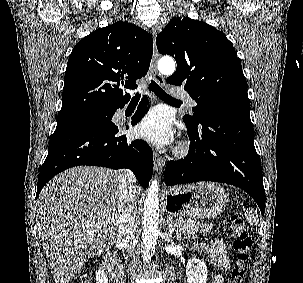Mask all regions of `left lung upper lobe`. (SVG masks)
<instances>
[{
  "label": "left lung upper lobe",
  "mask_w": 303,
  "mask_h": 283,
  "mask_svg": "<svg viewBox=\"0 0 303 283\" xmlns=\"http://www.w3.org/2000/svg\"><path fill=\"white\" fill-rule=\"evenodd\" d=\"M156 44L159 53L177 62L167 82L183 85L197 103L193 116L185 115L184 121L199 125L208 110L250 113L240 61L223 33L198 20L174 17L157 35Z\"/></svg>",
  "instance_id": "5c2ea615"
}]
</instances>
